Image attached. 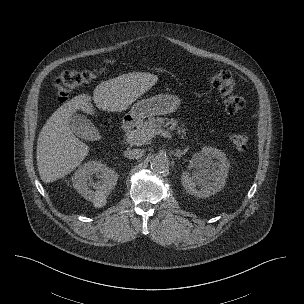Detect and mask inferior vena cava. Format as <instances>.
<instances>
[{
  "label": "inferior vena cava",
  "instance_id": "602c4592",
  "mask_svg": "<svg viewBox=\"0 0 304 304\" xmlns=\"http://www.w3.org/2000/svg\"><path fill=\"white\" fill-rule=\"evenodd\" d=\"M144 150L142 149H132L124 152V156L129 159H139L143 156Z\"/></svg>",
  "mask_w": 304,
  "mask_h": 304
}]
</instances>
